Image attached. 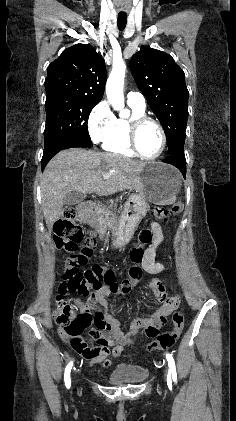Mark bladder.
<instances>
[{"instance_id":"bladder-1","label":"bladder","mask_w":236,"mask_h":421,"mask_svg":"<svg viewBox=\"0 0 236 421\" xmlns=\"http://www.w3.org/2000/svg\"><path fill=\"white\" fill-rule=\"evenodd\" d=\"M143 380H146V374L138 369L135 364L120 362L111 371L107 383L134 384Z\"/></svg>"}]
</instances>
